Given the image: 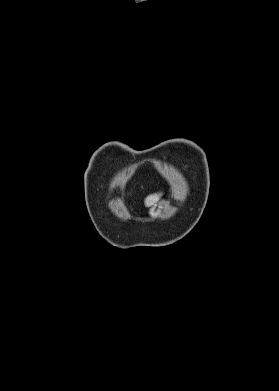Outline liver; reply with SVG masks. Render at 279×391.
<instances>
[{"instance_id":"1","label":"liver","mask_w":279,"mask_h":391,"mask_svg":"<svg viewBox=\"0 0 279 391\" xmlns=\"http://www.w3.org/2000/svg\"><path fill=\"white\" fill-rule=\"evenodd\" d=\"M161 195H162L161 193L149 195L145 199V206L150 207V206L154 205L155 203H157L159 201Z\"/></svg>"}]
</instances>
